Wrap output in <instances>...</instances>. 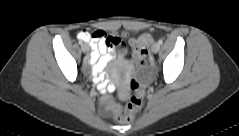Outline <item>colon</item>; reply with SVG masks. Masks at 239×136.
Instances as JSON below:
<instances>
[{
  "instance_id": "obj_1",
  "label": "colon",
  "mask_w": 239,
  "mask_h": 136,
  "mask_svg": "<svg viewBox=\"0 0 239 136\" xmlns=\"http://www.w3.org/2000/svg\"><path fill=\"white\" fill-rule=\"evenodd\" d=\"M105 42L107 45L118 46L122 44V40L116 36L106 34ZM151 38L148 34H143L137 39L131 41L133 47V57L140 66H146L149 63L148 46ZM131 95L129 102L125 106L115 105L113 108L114 118L119 122L131 121L133 115L138 112L143 105V91L141 84L137 80H131L129 83Z\"/></svg>"
}]
</instances>
